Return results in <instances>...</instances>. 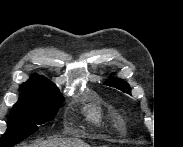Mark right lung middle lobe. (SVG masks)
<instances>
[{"label":"right lung middle lobe","mask_w":183,"mask_h":147,"mask_svg":"<svg viewBox=\"0 0 183 147\" xmlns=\"http://www.w3.org/2000/svg\"><path fill=\"white\" fill-rule=\"evenodd\" d=\"M18 102L13 106L8 128L0 138V147H10L52 120L64 101L59 90H20Z\"/></svg>","instance_id":"1"}]
</instances>
